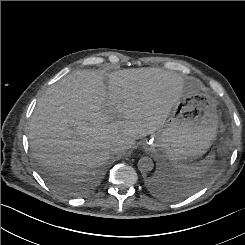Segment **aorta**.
Instances as JSON below:
<instances>
[{"instance_id":"obj_1","label":"aorta","mask_w":245,"mask_h":245,"mask_svg":"<svg viewBox=\"0 0 245 245\" xmlns=\"http://www.w3.org/2000/svg\"><path fill=\"white\" fill-rule=\"evenodd\" d=\"M137 166H138V169L140 170V172L148 173L153 169L154 163L150 157L145 156V157H141L138 160Z\"/></svg>"}]
</instances>
